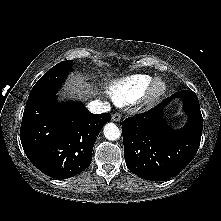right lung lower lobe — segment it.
Here are the masks:
<instances>
[{"label": "right lung lower lobe", "mask_w": 221, "mask_h": 221, "mask_svg": "<svg viewBox=\"0 0 221 221\" xmlns=\"http://www.w3.org/2000/svg\"><path fill=\"white\" fill-rule=\"evenodd\" d=\"M57 90L28 98L20 139L25 154L40 171L59 179L91 164L92 150L109 113L92 114L76 102H56Z\"/></svg>", "instance_id": "98d812e1"}]
</instances>
